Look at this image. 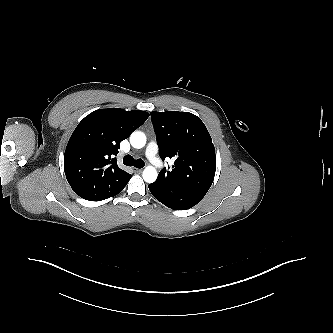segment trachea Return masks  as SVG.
I'll list each match as a JSON object with an SVG mask.
<instances>
[{
  "mask_svg": "<svg viewBox=\"0 0 333 333\" xmlns=\"http://www.w3.org/2000/svg\"><path fill=\"white\" fill-rule=\"evenodd\" d=\"M123 163L126 166H134L136 168H142L145 165V163L142 159L135 160L131 155H126L123 158Z\"/></svg>",
  "mask_w": 333,
  "mask_h": 333,
  "instance_id": "1",
  "label": "trachea"
}]
</instances>
